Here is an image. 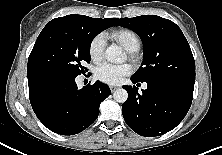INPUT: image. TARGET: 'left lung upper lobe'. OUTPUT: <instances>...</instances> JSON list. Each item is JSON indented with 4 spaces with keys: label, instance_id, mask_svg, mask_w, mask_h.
<instances>
[{
    "label": "left lung upper lobe",
    "instance_id": "1",
    "mask_svg": "<svg viewBox=\"0 0 222 155\" xmlns=\"http://www.w3.org/2000/svg\"><path fill=\"white\" fill-rule=\"evenodd\" d=\"M117 23L139 35L144 46L141 66L132 75L140 82L172 81L194 88L195 61L181 29L172 21L142 15Z\"/></svg>",
    "mask_w": 222,
    "mask_h": 155
}]
</instances>
